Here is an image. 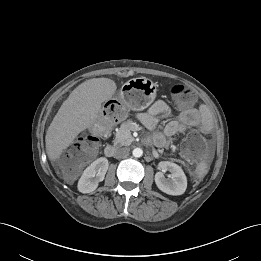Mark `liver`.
Returning a JSON list of instances; mask_svg holds the SVG:
<instances>
[{"label": "liver", "instance_id": "6515ba94", "mask_svg": "<svg viewBox=\"0 0 261 261\" xmlns=\"http://www.w3.org/2000/svg\"><path fill=\"white\" fill-rule=\"evenodd\" d=\"M116 83L108 78H93L81 83L63 102L46 132V153L53 161L91 127L99 116L102 103L116 92Z\"/></svg>", "mask_w": 261, "mask_h": 261}]
</instances>
